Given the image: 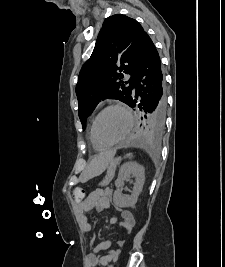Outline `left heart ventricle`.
Here are the masks:
<instances>
[{"label":"left heart ventricle","mask_w":225,"mask_h":267,"mask_svg":"<svg viewBox=\"0 0 225 267\" xmlns=\"http://www.w3.org/2000/svg\"><path fill=\"white\" fill-rule=\"evenodd\" d=\"M128 127L126 114L119 109L107 111L99 120L98 137L103 142H112L123 136Z\"/></svg>","instance_id":"1"}]
</instances>
